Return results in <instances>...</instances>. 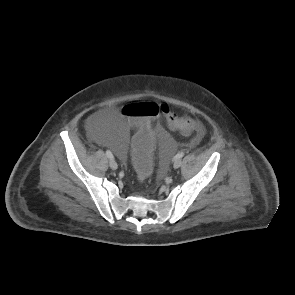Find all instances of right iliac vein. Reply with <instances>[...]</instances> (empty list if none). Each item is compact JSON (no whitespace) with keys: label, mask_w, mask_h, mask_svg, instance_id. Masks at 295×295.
Here are the masks:
<instances>
[{"label":"right iliac vein","mask_w":295,"mask_h":295,"mask_svg":"<svg viewBox=\"0 0 295 295\" xmlns=\"http://www.w3.org/2000/svg\"><path fill=\"white\" fill-rule=\"evenodd\" d=\"M109 166H110V168L113 169V170H116L117 167H118L117 162H116L114 159H111V160L109 161Z\"/></svg>","instance_id":"63e3f726"}]
</instances>
